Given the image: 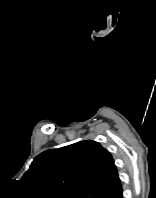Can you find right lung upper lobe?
<instances>
[{"label":"right lung upper lobe","mask_w":156,"mask_h":198,"mask_svg":"<svg viewBox=\"0 0 156 198\" xmlns=\"http://www.w3.org/2000/svg\"><path fill=\"white\" fill-rule=\"evenodd\" d=\"M22 180L40 198H114L122 191L111 154L92 140L41 153Z\"/></svg>","instance_id":"right-lung-upper-lobe-1"}]
</instances>
